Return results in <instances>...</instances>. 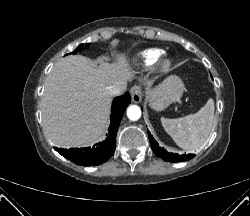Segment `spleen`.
Instances as JSON below:
<instances>
[{"label": "spleen", "mask_w": 250, "mask_h": 216, "mask_svg": "<svg viewBox=\"0 0 250 216\" xmlns=\"http://www.w3.org/2000/svg\"><path fill=\"white\" fill-rule=\"evenodd\" d=\"M164 130L182 149L195 151L206 143L214 123V101L209 99L197 113L176 119L161 118Z\"/></svg>", "instance_id": "3e777b00"}]
</instances>
